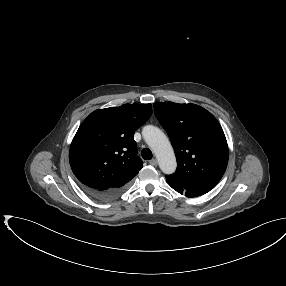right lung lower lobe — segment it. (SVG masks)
Wrapping results in <instances>:
<instances>
[{"label": "right lung lower lobe", "mask_w": 286, "mask_h": 286, "mask_svg": "<svg viewBox=\"0 0 286 286\" xmlns=\"http://www.w3.org/2000/svg\"><path fill=\"white\" fill-rule=\"evenodd\" d=\"M83 190L92 198L100 201L112 200L123 193L125 188L121 189H107V190H98L95 188H90L82 185Z\"/></svg>", "instance_id": "1"}]
</instances>
